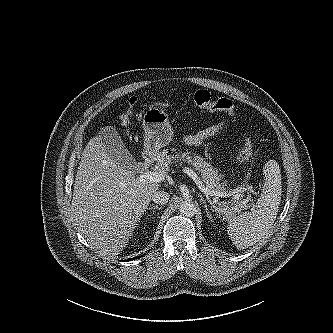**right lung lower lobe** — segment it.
<instances>
[{
  "label": "right lung lower lobe",
  "mask_w": 333,
  "mask_h": 333,
  "mask_svg": "<svg viewBox=\"0 0 333 333\" xmlns=\"http://www.w3.org/2000/svg\"><path fill=\"white\" fill-rule=\"evenodd\" d=\"M133 259H135V258H131V259H129V260H133ZM129 260H128V261H129Z\"/></svg>",
  "instance_id": "obj_1"
}]
</instances>
